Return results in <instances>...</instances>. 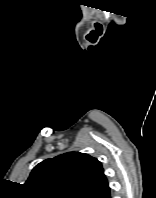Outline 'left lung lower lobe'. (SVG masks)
<instances>
[{
    "instance_id": "left-lung-lower-lobe-1",
    "label": "left lung lower lobe",
    "mask_w": 156,
    "mask_h": 198,
    "mask_svg": "<svg viewBox=\"0 0 156 198\" xmlns=\"http://www.w3.org/2000/svg\"><path fill=\"white\" fill-rule=\"evenodd\" d=\"M95 198H111V192L109 186Z\"/></svg>"
}]
</instances>
